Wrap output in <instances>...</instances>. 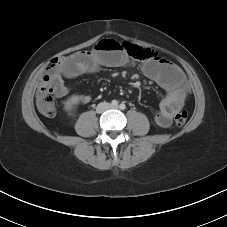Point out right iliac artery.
<instances>
[{"label":"right iliac artery","mask_w":227,"mask_h":227,"mask_svg":"<svg viewBox=\"0 0 227 227\" xmlns=\"http://www.w3.org/2000/svg\"><path fill=\"white\" fill-rule=\"evenodd\" d=\"M111 105H112V106H117V105H118V101H117V100H113V101L111 102Z\"/></svg>","instance_id":"right-iliac-artery-1"}]
</instances>
